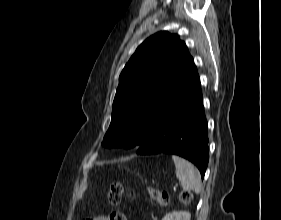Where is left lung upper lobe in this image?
I'll use <instances>...</instances> for the list:
<instances>
[{
    "label": "left lung upper lobe",
    "mask_w": 281,
    "mask_h": 220,
    "mask_svg": "<svg viewBox=\"0 0 281 220\" xmlns=\"http://www.w3.org/2000/svg\"><path fill=\"white\" fill-rule=\"evenodd\" d=\"M196 72L178 35L162 31L146 39L120 74L111 124L102 144L128 148L149 142Z\"/></svg>",
    "instance_id": "1"
}]
</instances>
